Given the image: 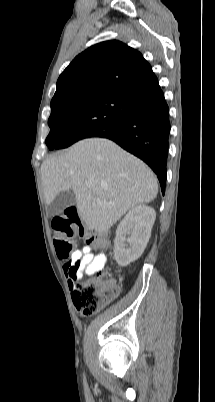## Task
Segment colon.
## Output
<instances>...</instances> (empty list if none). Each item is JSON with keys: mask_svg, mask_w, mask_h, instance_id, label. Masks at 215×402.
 <instances>
[{"mask_svg": "<svg viewBox=\"0 0 215 402\" xmlns=\"http://www.w3.org/2000/svg\"><path fill=\"white\" fill-rule=\"evenodd\" d=\"M53 242L59 258L67 260V266L74 273L81 260H72L74 244L72 238L76 235L84 238L88 244L107 248L109 239L103 234L91 233L79 218L73 208H68L56 214L51 219ZM117 294L116 287L105 279V274L98 270L89 281L75 286L73 300L84 315H93L107 305Z\"/></svg>", "mask_w": 215, "mask_h": 402, "instance_id": "5ec220e1", "label": "colon"}]
</instances>
